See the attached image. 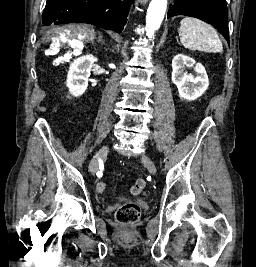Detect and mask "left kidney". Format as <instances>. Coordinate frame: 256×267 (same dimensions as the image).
<instances>
[{
	"label": "left kidney",
	"instance_id": "obj_1",
	"mask_svg": "<svg viewBox=\"0 0 256 267\" xmlns=\"http://www.w3.org/2000/svg\"><path fill=\"white\" fill-rule=\"evenodd\" d=\"M185 68H193L195 76L184 72ZM172 82L177 86L180 98L184 100H196L209 86L204 66L196 64L193 58L185 54H177L172 60Z\"/></svg>",
	"mask_w": 256,
	"mask_h": 267
}]
</instances>
